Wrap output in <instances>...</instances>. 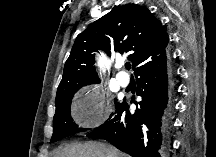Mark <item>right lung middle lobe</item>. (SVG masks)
Segmentation results:
<instances>
[{"mask_svg": "<svg viewBox=\"0 0 216 157\" xmlns=\"http://www.w3.org/2000/svg\"><path fill=\"white\" fill-rule=\"evenodd\" d=\"M76 91H65L59 97L56 98V111L54 115V127L53 136L51 142L58 141L69 135L85 131L87 129L79 128L77 124L73 122L70 114V105L73 95ZM117 106L119 105L116 103ZM117 108V107H116ZM113 113L111 114V116Z\"/></svg>", "mask_w": 216, "mask_h": 157, "instance_id": "1", "label": "right lung middle lobe"}]
</instances>
